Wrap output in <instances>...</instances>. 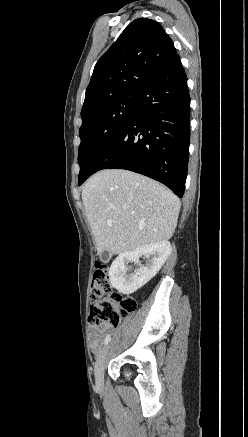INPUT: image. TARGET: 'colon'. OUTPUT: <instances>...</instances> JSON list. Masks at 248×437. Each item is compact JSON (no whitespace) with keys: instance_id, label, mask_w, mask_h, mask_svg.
<instances>
[{"instance_id":"5ec220e1","label":"colon","mask_w":248,"mask_h":437,"mask_svg":"<svg viewBox=\"0 0 248 437\" xmlns=\"http://www.w3.org/2000/svg\"><path fill=\"white\" fill-rule=\"evenodd\" d=\"M89 323L92 327L110 325L116 327L121 319L136 308V302L122 298L113 292L108 275V267L97 263L90 287Z\"/></svg>"}]
</instances>
